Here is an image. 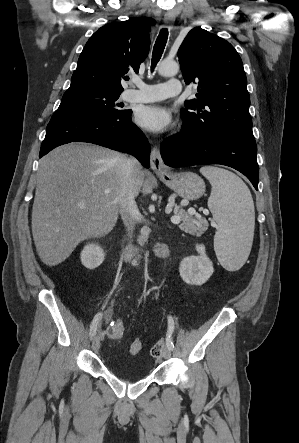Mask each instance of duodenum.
Segmentation results:
<instances>
[{"label": "duodenum", "mask_w": 299, "mask_h": 443, "mask_svg": "<svg viewBox=\"0 0 299 443\" xmlns=\"http://www.w3.org/2000/svg\"><path fill=\"white\" fill-rule=\"evenodd\" d=\"M136 251H137V249L134 245L127 244L123 250L124 259L132 258L135 255ZM155 252L158 256H163V254L168 252V250L163 243H157L155 246Z\"/></svg>", "instance_id": "410a0bca"}]
</instances>
